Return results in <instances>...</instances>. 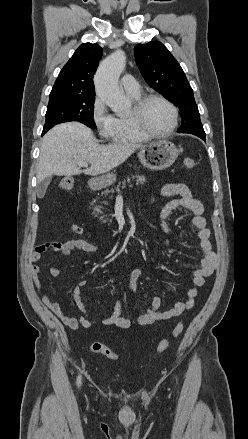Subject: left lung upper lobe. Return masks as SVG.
Returning <instances> with one entry per match:
<instances>
[{
  "instance_id": "5c2ea615",
  "label": "left lung upper lobe",
  "mask_w": 248,
  "mask_h": 439,
  "mask_svg": "<svg viewBox=\"0 0 248 439\" xmlns=\"http://www.w3.org/2000/svg\"><path fill=\"white\" fill-rule=\"evenodd\" d=\"M136 63L145 81L179 107L182 125L179 133L194 134L205 140V132L193 90L177 60L159 41L135 47Z\"/></svg>"
}]
</instances>
